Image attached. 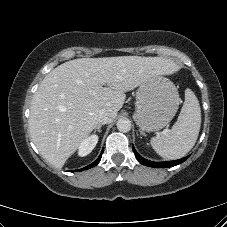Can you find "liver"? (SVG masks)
Instances as JSON below:
<instances>
[{"instance_id":"6515ba94","label":"liver","mask_w":227,"mask_h":227,"mask_svg":"<svg viewBox=\"0 0 227 227\" xmlns=\"http://www.w3.org/2000/svg\"><path fill=\"white\" fill-rule=\"evenodd\" d=\"M176 70L160 57L79 58L65 62L40 83L30 108L29 130L40 154L61 168L95 129L99 112L122 108L128 92L152 76ZM106 86V87H104Z\"/></svg>"}]
</instances>
